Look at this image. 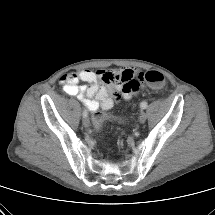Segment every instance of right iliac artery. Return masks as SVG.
Returning a JSON list of instances; mask_svg holds the SVG:
<instances>
[{
    "mask_svg": "<svg viewBox=\"0 0 215 215\" xmlns=\"http://www.w3.org/2000/svg\"><path fill=\"white\" fill-rule=\"evenodd\" d=\"M87 115H88L87 110L84 109V110H83V117H87Z\"/></svg>",
    "mask_w": 215,
    "mask_h": 215,
    "instance_id": "obj_1",
    "label": "right iliac artery"
}]
</instances>
